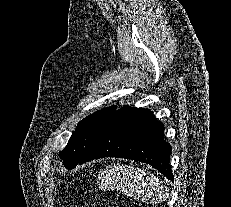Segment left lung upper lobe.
I'll return each instance as SVG.
<instances>
[{"instance_id": "1", "label": "left lung upper lobe", "mask_w": 231, "mask_h": 207, "mask_svg": "<svg viewBox=\"0 0 231 207\" xmlns=\"http://www.w3.org/2000/svg\"><path fill=\"white\" fill-rule=\"evenodd\" d=\"M115 110L116 107L114 106L99 110L78 123L67 146L59 153V156L64 160L63 164L67 169H72L78 164L105 121L115 112Z\"/></svg>"}]
</instances>
